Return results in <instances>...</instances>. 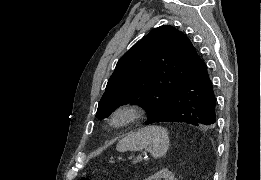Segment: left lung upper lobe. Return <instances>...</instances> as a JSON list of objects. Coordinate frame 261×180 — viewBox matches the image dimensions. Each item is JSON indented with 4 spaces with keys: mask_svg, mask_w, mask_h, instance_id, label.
Segmentation results:
<instances>
[{
    "mask_svg": "<svg viewBox=\"0 0 261 180\" xmlns=\"http://www.w3.org/2000/svg\"><path fill=\"white\" fill-rule=\"evenodd\" d=\"M198 58L181 31L169 25L153 29L118 61L96 116L107 118L118 106L131 103L145 109L146 125L153 123Z\"/></svg>",
    "mask_w": 261,
    "mask_h": 180,
    "instance_id": "5c2ea615",
    "label": "left lung upper lobe"
}]
</instances>
